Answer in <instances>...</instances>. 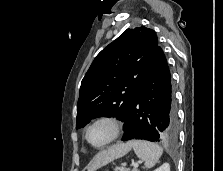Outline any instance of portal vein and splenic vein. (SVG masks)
<instances>
[{
    "label": "portal vein and splenic vein",
    "instance_id": "18ae733b",
    "mask_svg": "<svg viewBox=\"0 0 223 171\" xmlns=\"http://www.w3.org/2000/svg\"><path fill=\"white\" fill-rule=\"evenodd\" d=\"M133 166H134L135 168H137L139 165H138V163H133Z\"/></svg>",
    "mask_w": 223,
    "mask_h": 171
}]
</instances>
